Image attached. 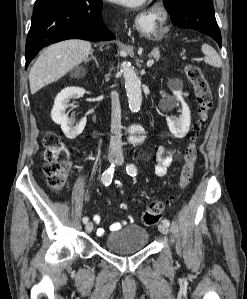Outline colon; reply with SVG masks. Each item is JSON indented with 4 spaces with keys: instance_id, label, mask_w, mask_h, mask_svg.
Instances as JSON below:
<instances>
[{
    "instance_id": "obj_1",
    "label": "colon",
    "mask_w": 247,
    "mask_h": 299,
    "mask_svg": "<svg viewBox=\"0 0 247 299\" xmlns=\"http://www.w3.org/2000/svg\"><path fill=\"white\" fill-rule=\"evenodd\" d=\"M184 72L191 83L196 101L198 104V119L194 125V134L187 144L184 152V165L181 169L179 179V189L185 190L192 179L194 164L197 159V141L199 135L206 125L209 113L212 108L213 98L210 86L205 79L201 69L194 64H186ZM44 173L47 177L48 185L55 191H61L67 183L68 149L61 138L53 132H48L44 139ZM175 201L174 197L168 200H157L152 202L149 207L142 212L140 219L146 226L157 224L166 207Z\"/></svg>"
}]
</instances>
